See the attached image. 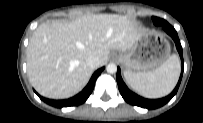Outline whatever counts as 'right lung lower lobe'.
Instances as JSON below:
<instances>
[{
    "mask_svg": "<svg viewBox=\"0 0 203 123\" xmlns=\"http://www.w3.org/2000/svg\"><path fill=\"white\" fill-rule=\"evenodd\" d=\"M104 67L98 69L91 77L89 83L87 84V86L76 96L70 98V99H66V100H51V99H47L44 98L40 95H38L40 97L41 100H43L45 103L53 106V107H57V108H62V107H70V106H76L79 104H82L83 102H85L88 97L90 96V94L93 91L94 88V84L95 81L97 79V77L99 76V74L103 71Z\"/></svg>",
    "mask_w": 203,
    "mask_h": 123,
    "instance_id": "98d812e1",
    "label": "right lung lower lobe"
}]
</instances>
